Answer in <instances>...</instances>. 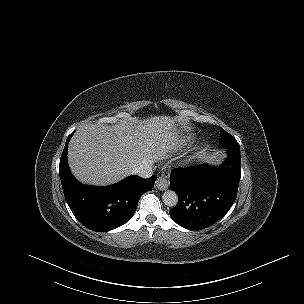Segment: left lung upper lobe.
<instances>
[{
	"instance_id": "left-lung-upper-lobe-1",
	"label": "left lung upper lobe",
	"mask_w": 304,
	"mask_h": 304,
	"mask_svg": "<svg viewBox=\"0 0 304 304\" xmlns=\"http://www.w3.org/2000/svg\"><path fill=\"white\" fill-rule=\"evenodd\" d=\"M221 138H220V142L219 144L224 147V148H228V147H235V148H239V144L236 141V139L230 135L229 133H227L224 129L221 128Z\"/></svg>"
}]
</instances>
